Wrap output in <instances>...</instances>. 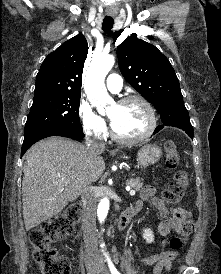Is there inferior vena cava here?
<instances>
[{
    "mask_svg": "<svg viewBox=\"0 0 221 274\" xmlns=\"http://www.w3.org/2000/svg\"><path fill=\"white\" fill-rule=\"evenodd\" d=\"M88 148L91 152H98L105 148L103 143L89 140ZM83 218L82 230L86 258H97L98 244L96 236V208L97 201L93 186H87L82 192Z\"/></svg>",
    "mask_w": 221,
    "mask_h": 274,
    "instance_id": "inferior-vena-cava-1",
    "label": "inferior vena cava"
}]
</instances>
